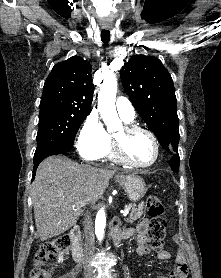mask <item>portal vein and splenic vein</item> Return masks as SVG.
Masks as SVG:
<instances>
[{"label":"portal vein and splenic vein","instance_id":"portal-vein-and-splenic-vein-1","mask_svg":"<svg viewBox=\"0 0 221 278\" xmlns=\"http://www.w3.org/2000/svg\"><path fill=\"white\" fill-rule=\"evenodd\" d=\"M129 211H130V208L127 207L125 210H122L121 213H122L123 216H127Z\"/></svg>","mask_w":221,"mask_h":278}]
</instances>
